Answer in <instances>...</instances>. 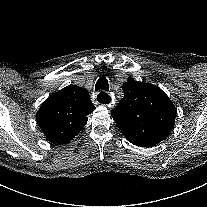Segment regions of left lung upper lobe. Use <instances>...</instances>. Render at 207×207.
I'll use <instances>...</instances> for the list:
<instances>
[{
	"label": "left lung upper lobe",
	"instance_id": "1",
	"mask_svg": "<svg viewBox=\"0 0 207 207\" xmlns=\"http://www.w3.org/2000/svg\"><path fill=\"white\" fill-rule=\"evenodd\" d=\"M124 97L111 111L118 128L129 142L152 147L172 130L176 108L159 87L130 78L122 86Z\"/></svg>",
	"mask_w": 207,
	"mask_h": 207
}]
</instances>
